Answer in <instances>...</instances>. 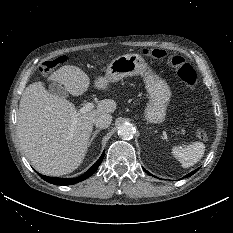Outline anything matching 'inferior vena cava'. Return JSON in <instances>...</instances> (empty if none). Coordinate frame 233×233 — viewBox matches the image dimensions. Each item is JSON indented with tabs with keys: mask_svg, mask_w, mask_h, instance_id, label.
Listing matches in <instances>:
<instances>
[{
	"mask_svg": "<svg viewBox=\"0 0 233 233\" xmlns=\"http://www.w3.org/2000/svg\"><path fill=\"white\" fill-rule=\"evenodd\" d=\"M112 121V116L108 113H102L95 117L94 124L96 127L104 129L107 128Z\"/></svg>",
	"mask_w": 233,
	"mask_h": 233,
	"instance_id": "1",
	"label": "inferior vena cava"
}]
</instances>
